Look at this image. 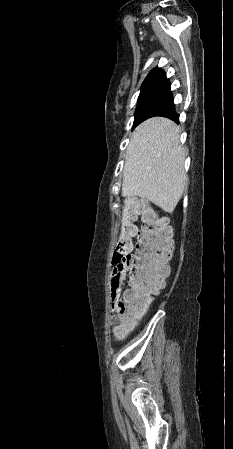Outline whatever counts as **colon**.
<instances>
[{
	"instance_id": "1",
	"label": "colon",
	"mask_w": 233,
	"mask_h": 449,
	"mask_svg": "<svg viewBox=\"0 0 233 449\" xmlns=\"http://www.w3.org/2000/svg\"><path fill=\"white\" fill-rule=\"evenodd\" d=\"M138 215L143 220L139 231L134 223ZM172 249L173 240L166 221L145 201L127 199L113 256L116 264H124L129 270V289L115 312L122 325L121 333L143 314L152 296L162 287Z\"/></svg>"
}]
</instances>
